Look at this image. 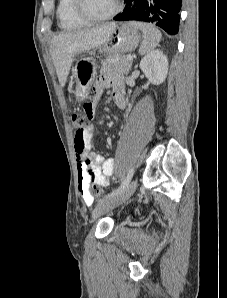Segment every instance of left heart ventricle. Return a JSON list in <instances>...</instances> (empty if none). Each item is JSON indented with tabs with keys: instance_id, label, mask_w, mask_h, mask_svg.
<instances>
[{
	"instance_id": "b2bd125f",
	"label": "left heart ventricle",
	"mask_w": 227,
	"mask_h": 298,
	"mask_svg": "<svg viewBox=\"0 0 227 298\" xmlns=\"http://www.w3.org/2000/svg\"><path fill=\"white\" fill-rule=\"evenodd\" d=\"M117 0H86L88 11L94 16H105L116 6Z\"/></svg>"
}]
</instances>
